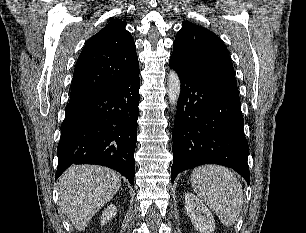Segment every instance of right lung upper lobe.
Listing matches in <instances>:
<instances>
[{
  "label": "right lung upper lobe",
  "mask_w": 306,
  "mask_h": 233,
  "mask_svg": "<svg viewBox=\"0 0 306 233\" xmlns=\"http://www.w3.org/2000/svg\"><path fill=\"white\" fill-rule=\"evenodd\" d=\"M126 21L112 20L91 37L78 57L70 102L107 92L139 69L134 40Z\"/></svg>",
  "instance_id": "right-lung-upper-lobe-1"
}]
</instances>
